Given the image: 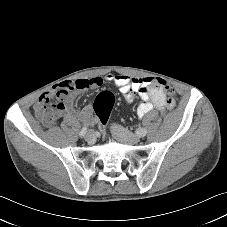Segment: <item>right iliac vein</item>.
<instances>
[{
	"instance_id": "right-iliac-vein-1",
	"label": "right iliac vein",
	"mask_w": 227,
	"mask_h": 227,
	"mask_svg": "<svg viewBox=\"0 0 227 227\" xmlns=\"http://www.w3.org/2000/svg\"><path fill=\"white\" fill-rule=\"evenodd\" d=\"M85 140H86L88 143H93L94 140H95L94 133H93L92 131H88L87 134L85 135Z\"/></svg>"
}]
</instances>
